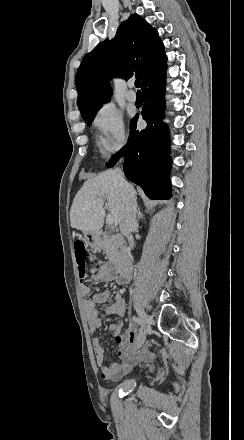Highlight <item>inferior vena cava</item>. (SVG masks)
<instances>
[{
    "instance_id": "602c4592",
    "label": "inferior vena cava",
    "mask_w": 244,
    "mask_h": 440,
    "mask_svg": "<svg viewBox=\"0 0 244 440\" xmlns=\"http://www.w3.org/2000/svg\"><path fill=\"white\" fill-rule=\"evenodd\" d=\"M116 174L121 186L125 188L124 208L121 212L119 222L120 232L121 234H123V236H125V238H127L130 244V248H133L134 238L132 236V232H134V230H137L138 228L136 220V198L133 188H131L128 182L124 180V174L122 170H116Z\"/></svg>"
}]
</instances>
